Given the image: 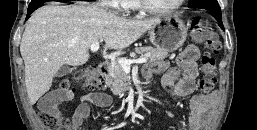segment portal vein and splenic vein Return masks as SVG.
<instances>
[{"instance_id":"obj_1","label":"portal vein and splenic vein","mask_w":257,"mask_h":130,"mask_svg":"<svg viewBox=\"0 0 257 130\" xmlns=\"http://www.w3.org/2000/svg\"><path fill=\"white\" fill-rule=\"evenodd\" d=\"M99 46H100L99 42H95L91 45L90 50L92 52H97L99 50ZM146 62H147L146 57H141V58L133 59V60H128V59H124V58L118 59V63L121 65L122 69L126 72L130 70L131 64H142V63H146Z\"/></svg>"}]
</instances>
